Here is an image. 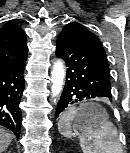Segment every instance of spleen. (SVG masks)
I'll list each match as a JSON object with an SVG mask.
<instances>
[{"label":"spleen","instance_id":"1","mask_svg":"<svg viewBox=\"0 0 130 153\" xmlns=\"http://www.w3.org/2000/svg\"><path fill=\"white\" fill-rule=\"evenodd\" d=\"M79 110V108L70 107L61 115L58 130L64 137H72L71 122ZM81 131L79 139L83 153H122L117 129L109 120L102 122L98 127H83Z\"/></svg>","mask_w":130,"mask_h":153}]
</instances>
